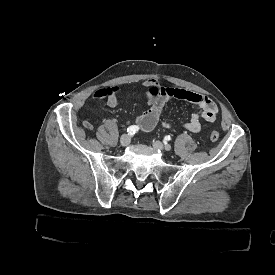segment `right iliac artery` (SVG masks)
<instances>
[{"instance_id":"obj_1","label":"right iliac artery","mask_w":275,"mask_h":275,"mask_svg":"<svg viewBox=\"0 0 275 275\" xmlns=\"http://www.w3.org/2000/svg\"><path fill=\"white\" fill-rule=\"evenodd\" d=\"M139 130V127L136 125H132L129 128H127V132L130 135H134Z\"/></svg>"}]
</instances>
